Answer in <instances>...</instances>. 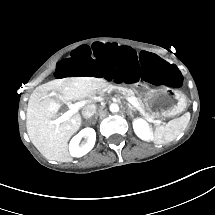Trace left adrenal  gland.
<instances>
[{
    "label": "left adrenal gland",
    "instance_id": "left-adrenal-gland-1",
    "mask_svg": "<svg viewBox=\"0 0 215 215\" xmlns=\"http://www.w3.org/2000/svg\"><path fill=\"white\" fill-rule=\"evenodd\" d=\"M128 110H129L128 114H129L131 117H134V115H133L132 112H133V111L136 112V110H135L134 108H132V106H130V105H129V107H128Z\"/></svg>",
    "mask_w": 215,
    "mask_h": 215
}]
</instances>
